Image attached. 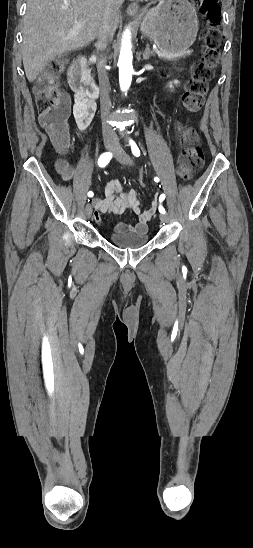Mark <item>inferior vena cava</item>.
Masks as SVG:
<instances>
[{"mask_svg":"<svg viewBox=\"0 0 253 548\" xmlns=\"http://www.w3.org/2000/svg\"><path fill=\"white\" fill-rule=\"evenodd\" d=\"M124 0H105V14L103 17V21L99 28L98 33V47L97 51H103L106 49L109 42L112 41L114 36V26H113V18L117 12V10L120 8V6L123 4ZM106 58L104 56H100L98 63H97V70H98V78H99V86L101 91V97H100V103H101V109L108 113L111 107V101L109 98V79L106 72ZM102 124H103V137L105 140H118V136L115 132V129H112L109 127L111 124L110 121L112 120L110 117L107 119V115L103 114L102 116ZM108 120V121H107Z\"/></svg>","mask_w":253,"mask_h":548,"instance_id":"obj_1","label":"inferior vena cava"}]
</instances>
